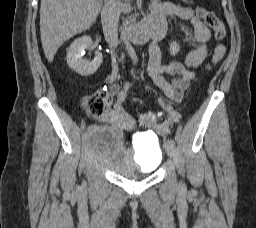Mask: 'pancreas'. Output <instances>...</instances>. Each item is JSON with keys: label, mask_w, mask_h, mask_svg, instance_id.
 <instances>
[{"label": "pancreas", "mask_w": 256, "mask_h": 228, "mask_svg": "<svg viewBox=\"0 0 256 228\" xmlns=\"http://www.w3.org/2000/svg\"><path fill=\"white\" fill-rule=\"evenodd\" d=\"M130 22V20H126V24H128Z\"/></svg>", "instance_id": "cf45deb5"}]
</instances>
